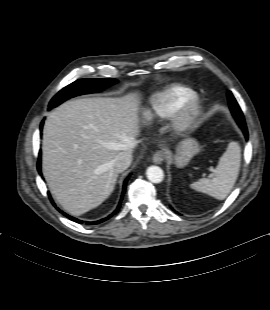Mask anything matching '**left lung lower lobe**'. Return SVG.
<instances>
[{
  "instance_id": "obj_1",
  "label": "left lung lower lobe",
  "mask_w": 270,
  "mask_h": 310,
  "mask_svg": "<svg viewBox=\"0 0 270 310\" xmlns=\"http://www.w3.org/2000/svg\"><path fill=\"white\" fill-rule=\"evenodd\" d=\"M243 132H244L245 137L247 138L248 137L247 129L243 130Z\"/></svg>"
}]
</instances>
